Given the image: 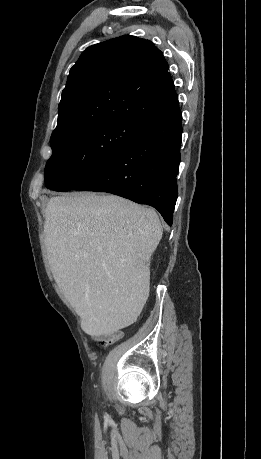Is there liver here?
I'll use <instances>...</instances> for the list:
<instances>
[{"label":"liver","mask_w":261,"mask_h":459,"mask_svg":"<svg viewBox=\"0 0 261 459\" xmlns=\"http://www.w3.org/2000/svg\"><path fill=\"white\" fill-rule=\"evenodd\" d=\"M162 234L155 210L119 196L76 192L50 198L47 256L83 331L100 336L128 324Z\"/></svg>","instance_id":"obj_1"}]
</instances>
